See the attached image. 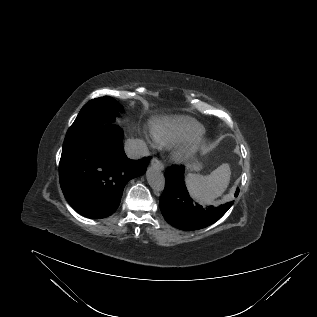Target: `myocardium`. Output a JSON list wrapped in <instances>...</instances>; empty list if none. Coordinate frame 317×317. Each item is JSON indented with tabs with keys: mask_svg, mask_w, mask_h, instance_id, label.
I'll list each match as a JSON object with an SVG mask.
<instances>
[{
	"mask_svg": "<svg viewBox=\"0 0 317 317\" xmlns=\"http://www.w3.org/2000/svg\"><path fill=\"white\" fill-rule=\"evenodd\" d=\"M200 145L201 141L197 139L184 142L174 150L172 154L173 160L179 164L189 161L197 153Z\"/></svg>",
	"mask_w": 317,
	"mask_h": 317,
	"instance_id": "obj_1",
	"label": "myocardium"
}]
</instances>
